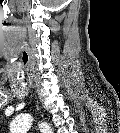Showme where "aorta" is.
<instances>
[{"instance_id":"obj_1","label":"aorta","mask_w":120,"mask_h":133,"mask_svg":"<svg viewBox=\"0 0 120 133\" xmlns=\"http://www.w3.org/2000/svg\"><path fill=\"white\" fill-rule=\"evenodd\" d=\"M32 117L30 116H19L17 117L11 124V130L17 132V133H24L25 131H27L31 124H32ZM44 131H50V127L47 124H43L42 125Z\"/></svg>"}]
</instances>
